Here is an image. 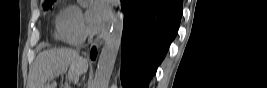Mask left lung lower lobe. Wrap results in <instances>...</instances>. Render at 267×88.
<instances>
[{
    "label": "left lung lower lobe",
    "instance_id": "left-lung-lower-lobe-1",
    "mask_svg": "<svg viewBox=\"0 0 267 88\" xmlns=\"http://www.w3.org/2000/svg\"><path fill=\"white\" fill-rule=\"evenodd\" d=\"M124 26L121 80L126 88H148L175 38L182 0H121Z\"/></svg>",
    "mask_w": 267,
    "mask_h": 88
}]
</instances>
